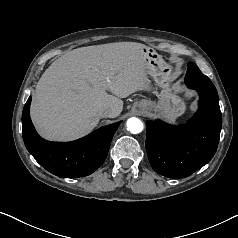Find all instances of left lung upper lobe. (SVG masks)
I'll return each instance as SVG.
<instances>
[{"instance_id":"obj_1","label":"left lung upper lobe","mask_w":238,"mask_h":238,"mask_svg":"<svg viewBox=\"0 0 238 238\" xmlns=\"http://www.w3.org/2000/svg\"><path fill=\"white\" fill-rule=\"evenodd\" d=\"M187 75L188 80H195L196 83L202 86L204 89L217 93V90L210 79L204 75L194 63L188 64Z\"/></svg>"}]
</instances>
